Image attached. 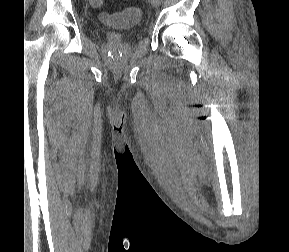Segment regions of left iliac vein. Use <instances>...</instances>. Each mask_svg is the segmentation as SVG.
<instances>
[{"instance_id": "obj_1", "label": "left iliac vein", "mask_w": 289, "mask_h": 252, "mask_svg": "<svg viewBox=\"0 0 289 252\" xmlns=\"http://www.w3.org/2000/svg\"><path fill=\"white\" fill-rule=\"evenodd\" d=\"M150 2L154 7H157V6H159L161 0H150Z\"/></svg>"}]
</instances>
